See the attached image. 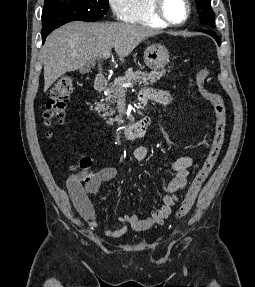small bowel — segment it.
<instances>
[{
  "label": "small bowel",
  "mask_w": 255,
  "mask_h": 287,
  "mask_svg": "<svg viewBox=\"0 0 255 287\" xmlns=\"http://www.w3.org/2000/svg\"><path fill=\"white\" fill-rule=\"evenodd\" d=\"M152 98L164 106L172 102L171 94L167 92H154ZM149 149L145 145L138 146L133 151V158L141 162L147 158ZM193 164V159L189 156H182L176 159L168 168L170 180L163 186L165 194L161 201V206L148 218L139 219L135 214H126L118 218L121 223L119 228L107 229L105 235L110 238H119L124 235L129 228L134 231H143L154 225H161L171 215L173 207L178 202L177 193L183 190L187 184L189 169ZM85 172H79L74 178L67 182L68 191L74 207L79 216L88 224L90 228L98 226L94 207L89 199V194L98 192L103 183L112 180L116 176V170L108 167L98 171L88 183L83 187Z\"/></svg>",
  "instance_id": "1"
}]
</instances>
